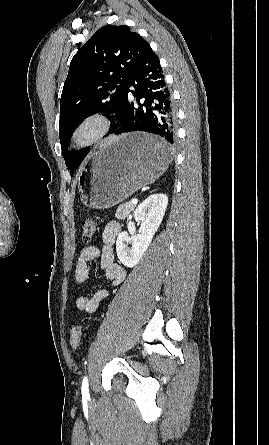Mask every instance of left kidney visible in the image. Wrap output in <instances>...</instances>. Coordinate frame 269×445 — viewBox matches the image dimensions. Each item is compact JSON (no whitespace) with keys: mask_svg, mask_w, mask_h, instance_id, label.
Segmentation results:
<instances>
[{"mask_svg":"<svg viewBox=\"0 0 269 445\" xmlns=\"http://www.w3.org/2000/svg\"><path fill=\"white\" fill-rule=\"evenodd\" d=\"M167 205L168 197L165 194H153L136 208L134 218L141 223L140 234L130 236L122 232L116 241L117 256L124 266L134 267L145 254L163 220Z\"/></svg>","mask_w":269,"mask_h":445,"instance_id":"1","label":"left kidney"}]
</instances>
